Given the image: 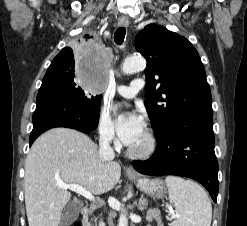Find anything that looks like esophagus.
<instances>
[{"mask_svg":"<svg viewBox=\"0 0 247 226\" xmlns=\"http://www.w3.org/2000/svg\"><path fill=\"white\" fill-rule=\"evenodd\" d=\"M118 25L127 27L129 25V20L128 19H119ZM126 172H127V174H130V175H136V172L131 167H127Z\"/></svg>","mask_w":247,"mask_h":226,"instance_id":"34e87169","label":"esophagus"}]
</instances>
